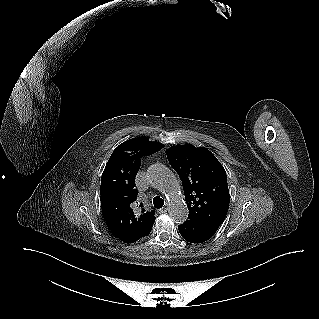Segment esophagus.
Masks as SVG:
<instances>
[{"label":"esophagus","instance_id":"esophagus-1","mask_svg":"<svg viewBox=\"0 0 319 319\" xmlns=\"http://www.w3.org/2000/svg\"><path fill=\"white\" fill-rule=\"evenodd\" d=\"M167 210H168L167 207H163V208H161V209L158 210V213H159V214H164V213L167 212Z\"/></svg>","mask_w":319,"mask_h":319}]
</instances>
